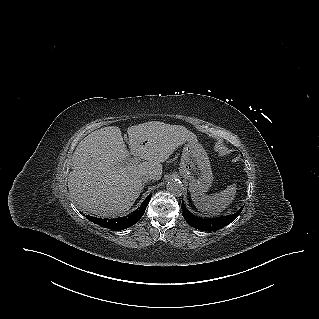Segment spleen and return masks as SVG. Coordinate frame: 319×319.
Listing matches in <instances>:
<instances>
[{
    "label": "spleen",
    "mask_w": 319,
    "mask_h": 319,
    "mask_svg": "<svg viewBox=\"0 0 319 319\" xmlns=\"http://www.w3.org/2000/svg\"><path fill=\"white\" fill-rule=\"evenodd\" d=\"M236 195V185L227 186V188L212 196L192 194V200L196 208L201 212L211 215L219 214L227 208L234 200Z\"/></svg>",
    "instance_id": "obj_1"
}]
</instances>
